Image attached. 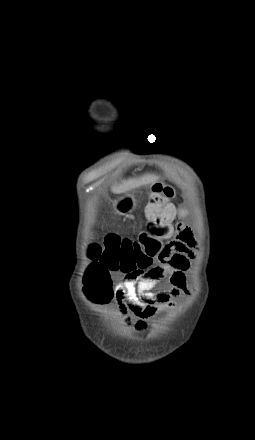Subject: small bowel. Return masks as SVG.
<instances>
[{"instance_id":"c3829d8e","label":"small bowel","mask_w":255,"mask_h":440,"mask_svg":"<svg viewBox=\"0 0 255 440\" xmlns=\"http://www.w3.org/2000/svg\"><path fill=\"white\" fill-rule=\"evenodd\" d=\"M181 215H185V211H181ZM166 252L167 255L157 264L129 272L114 287H110V300L116 302L125 323L133 324L137 331H144L148 320L161 307H175L178 298L192 294L186 276L197 255L191 229L180 225L175 239L167 244ZM166 277L170 287L154 291Z\"/></svg>"}]
</instances>
